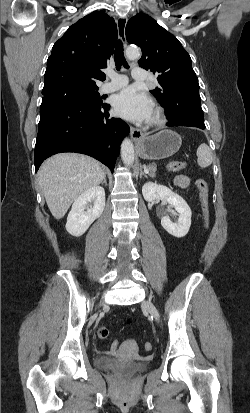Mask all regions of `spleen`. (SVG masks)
I'll return each instance as SVG.
<instances>
[{
  "mask_svg": "<svg viewBox=\"0 0 250 413\" xmlns=\"http://www.w3.org/2000/svg\"><path fill=\"white\" fill-rule=\"evenodd\" d=\"M197 163L201 168H206L212 163V153L209 146L205 143L197 148Z\"/></svg>",
  "mask_w": 250,
  "mask_h": 413,
  "instance_id": "spleen-1",
  "label": "spleen"
}]
</instances>
